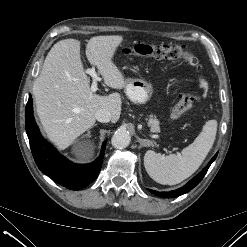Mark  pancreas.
I'll return each mask as SVG.
<instances>
[{"label": "pancreas", "instance_id": "obj_1", "mask_svg": "<svg viewBox=\"0 0 247 247\" xmlns=\"http://www.w3.org/2000/svg\"><path fill=\"white\" fill-rule=\"evenodd\" d=\"M148 125L151 126V129L153 131L159 130V121L156 118H153L152 116L149 118Z\"/></svg>", "mask_w": 247, "mask_h": 247}]
</instances>
